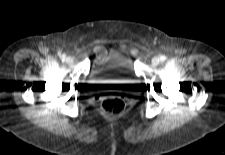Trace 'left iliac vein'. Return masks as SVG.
Segmentation results:
<instances>
[{
	"label": "left iliac vein",
	"mask_w": 225,
	"mask_h": 155,
	"mask_svg": "<svg viewBox=\"0 0 225 155\" xmlns=\"http://www.w3.org/2000/svg\"><path fill=\"white\" fill-rule=\"evenodd\" d=\"M159 63H160L159 57H154V58L152 59V64H153V65H158Z\"/></svg>",
	"instance_id": "left-iliac-vein-1"
}]
</instances>
